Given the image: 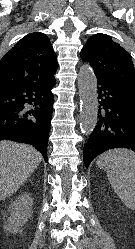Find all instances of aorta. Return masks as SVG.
Listing matches in <instances>:
<instances>
[{
	"label": "aorta",
	"mask_w": 135,
	"mask_h": 249,
	"mask_svg": "<svg viewBox=\"0 0 135 249\" xmlns=\"http://www.w3.org/2000/svg\"><path fill=\"white\" fill-rule=\"evenodd\" d=\"M80 97V128L85 135H90L97 124V80L92 68L83 65L78 73Z\"/></svg>",
	"instance_id": "obj_1"
}]
</instances>
